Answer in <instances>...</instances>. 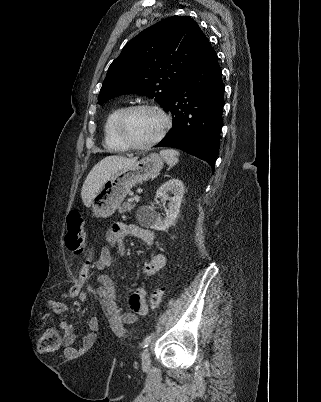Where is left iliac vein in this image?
I'll return each mask as SVG.
<instances>
[{
	"label": "left iliac vein",
	"mask_w": 321,
	"mask_h": 402,
	"mask_svg": "<svg viewBox=\"0 0 321 402\" xmlns=\"http://www.w3.org/2000/svg\"><path fill=\"white\" fill-rule=\"evenodd\" d=\"M141 362L143 367H149L150 365V354L148 349H144L141 355Z\"/></svg>",
	"instance_id": "obj_1"
}]
</instances>
